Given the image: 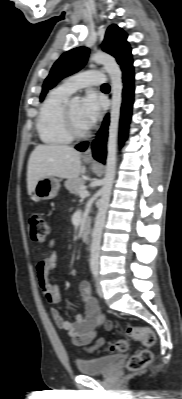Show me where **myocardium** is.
I'll return each mask as SVG.
<instances>
[{
  "mask_svg": "<svg viewBox=\"0 0 182 399\" xmlns=\"http://www.w3.org/2000/svg\"><path fill=\"white\" fill-rule=\"evenodd\" d=\"M64 124L66 131L68 135L71 137V139H82L88 136L89 134V129L87 128L86 130H79L76 128L71 113L69 109V105L66 104L65 109H64Z\"/></svg>",
  "mask_w": 182,
  "mask_h": 399,
  "instance_id": "myocardium-1",
  "label": "myocardium"
}]
</instances>
